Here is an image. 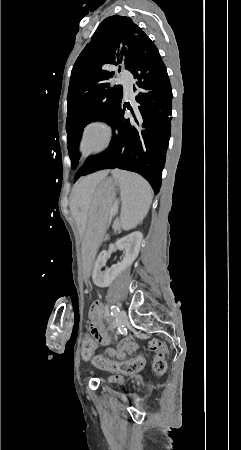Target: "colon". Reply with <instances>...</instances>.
<instances>
[{
  "instance_id": "5ec220e1",
  "label": "colon",
  "mask_w": 241,
  "mask_h": 450,
  "mask_svg": "<svg viewBox=\"0 0 241 450\" xmlns=\"http://www.w3.org/2000/svg\"><path fill=\"white\" fill-rule=\"evenodd\" d=\"M82 357L84 359H88V356H91L90 359L91 362L97 363V367H111V362H106V357L101 356V354H95V355H87V352H91L94 349V339L92 336H84L82 339ZM149 350L152 353H156L159 350L160 354L157 355L153 367L152 372L154 375L159 376L162 375L166 369V362L165 357L167 356V352L169 349L165 344L162 343L159 339H152L149 342ZM144 366V361L140 357H135L128 361L125 364L117 365L116 362L112 363V369L115 371L122 372L127 375H132L138 371H140Z\"/></svg>"
}]
</instances>
